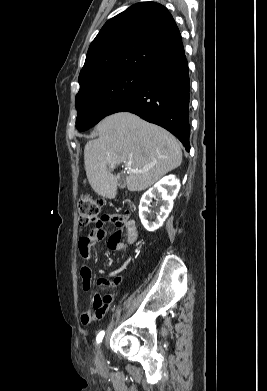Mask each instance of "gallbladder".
<instances>
[{
  "label": "gallbladder",
  "instance_id": "1",
  "mask_svg": "<svg viewBox=\"0 0 267 391\" xmlns=\"http://www.w3.org/2000/svg\"><path fill=\"white\" fill-rule=\"evenodd\" d=\"M126 183H125V177L122 175L119 180H118V187L123 189L125 188Z\"/></svg>",
  "mask_w": 267,
  "mask_h": 391
}]
</instances>
